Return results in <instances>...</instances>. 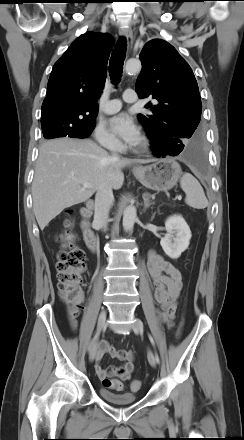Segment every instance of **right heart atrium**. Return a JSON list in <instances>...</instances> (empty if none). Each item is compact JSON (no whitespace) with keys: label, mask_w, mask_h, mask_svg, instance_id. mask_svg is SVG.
<instances>
[{"label":"right heart atrium","mask_w":244,"mask_h":440,"mask_svg":"<svg viewBox=\"0 0 244 440\" xmlns=\"http://www.w3.org/2000/svg\"><path fill=\"white\" fill-rule=\"evenodd\" d=\"M95 138L101 146L106 148H118L120 146L119 140L109 132L104 124H100L96 128Z\"/></svg>","instance_id":"d8ad5b80"}]
</instances>
